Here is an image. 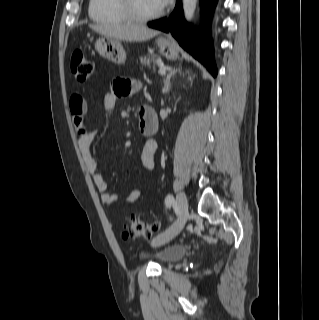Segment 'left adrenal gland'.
<instances>
[{"mask_svg":"<svg viewBox=\"0 0 319 320\" xmlns=\"http://www.w3.org/2000/svg\"><path fill=\"white\" fill-rule=\"evenodd\" d=\"M177 72H179V73L181 74V70H180V69H178V70H173V71H171V72L167 75V77L164 79L163 92L168 93V92L170 91V88H171V82H170V80H171V78H172L173 76H175V74H176ZM183 76H184V74H183Z\"/></svg>","mask_w":319,"mask_h":320,"instance_id":"left-adrenal-gland-1","label":"left adrenal gland"}]
</instances>
